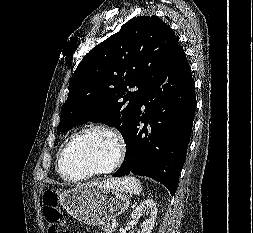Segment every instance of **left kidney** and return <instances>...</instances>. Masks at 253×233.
Here are the masks:
<instances>
[{
    "instance_id": "5707ae66",
    "label": "left kidney",
    "mask_w": 253,
    "mask_h": 233,
    "mask_svg": "<svg viewBox=\"0 0 253 233\" xmlns=\"http://www.w3.org/2000/svg\"><path fill=\"white\" fill-rule=\"evenodd\" d=\"M142 214L148 215V218L143 221L141 233H151L157 215L156 204L152 199L141 202L135 210H133L131 217L134 220H138Z\"/></svg>"
}]
</instances>
